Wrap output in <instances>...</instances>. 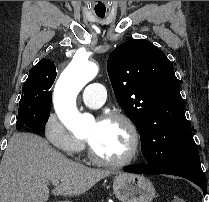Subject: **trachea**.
Returning <instances> with one entry per match:
<instances>
[{
    "label": "trachea",
    "mask_w": 209,
    "mask_h": 202,
    "mask_svg": "<svg viewBox=\"0 0 209 202\" xmlns=\"http://www.w3.org/2000/svg\"><path fill=\"white\" fill-rule=\"evenodd\" d=\"M98 17H100V18H104V15H97Z\"/></svg>",
    "instance_id": "obj_1"
}]
</instances>
